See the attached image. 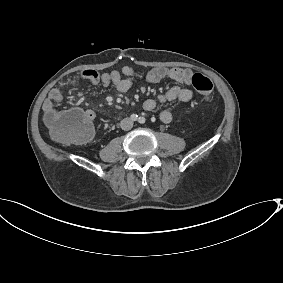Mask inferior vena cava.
I'll use <instances>...</instances> for the list:
<instances>
[{
    "instance_id": "obj_1",
    "label": "inferior vena cava",
    "mask_w": 283,
    "mask_h": 283,
    "mask_svg": "<svg viewBox=\"0 0 283 283\" xmlns=\"http://www.w3.org/2000/svg\"><path fill=\"white\" fill-rule=\"evenodd\" d=\"M120 126L122 130L128 131L133 127V121L130 118H124L120 122Z\"/></svg>"
}]
</instances>
